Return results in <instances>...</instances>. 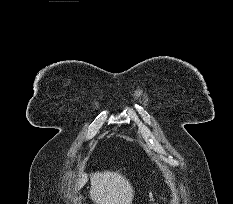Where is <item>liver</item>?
<instances>
[{"label": "liver", "instance_id": "obj_1", "mask_svg": "<svg viewBox=\"0 0 233 204\" xmlns=\"http://www.w3.org/2000/svg\"><path fill=\"white\" fill-rule=\"evenodd\" d=\"M91 188L89 195L95 204H132L134 190L131 183L119 171L95 172L89 175ZM88 181V174L81 173L76 190Z\"/></svg>", "mask_w": 233, "mask_h": 204}]
</instances>
